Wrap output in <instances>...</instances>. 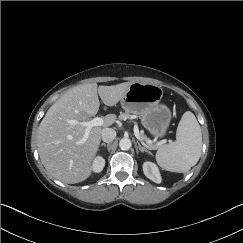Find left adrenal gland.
I'll use <instances>...</instances> for the list:
<instances>
[{
  "label": "left adrenal gland",
  "mask_w": 243,
  "mask_h": 243,
  "mask_svg": "<svg viewBox=\"0 0 243 243\" xmlns=\"http://www.w3.org/2000/svg\"><path fill=\"white\" fill-rule=\"evenodd\" d=\"M138 148H139V150H140L141 152H146V153H148V154L151 155V152H150L149 150H147L146 148L142 147L141 145H139Z\"/></svg>",
  "instance_id": "obj_1"
}]
</instances>
